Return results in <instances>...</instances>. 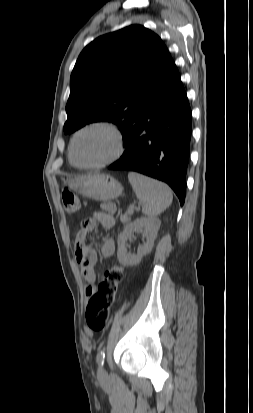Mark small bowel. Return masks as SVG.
<instances>
[{
	"label": "small bowel",
	"instance_id": "1",
	"mask_svg": "<svg viewBox=\"0 0 253 413\" xmlns=\"http://www.w3.org/2000/svg\"><path fill=\"white\" fill-rule=\"evenodd\" d=\"M116 205L111 202L102 204V211L95 212L91 217L83 220L80 224L79 231L75 237V257L80 267L82 276L87 282L85 293L90 297L95 291V282L97 280L94 266L97 262V252L91 246L87 239V233L91 231L95 223L98 222L103 228L110 229L114 226V214ZM115 252V243L113 239L106 238L101 247L100 254L103 258L111 257Z\"/></svg>",
	"mask_w": 253,
	"mask_h": 413
}]
</instances>
